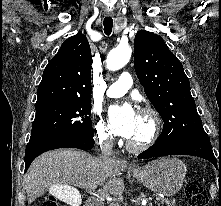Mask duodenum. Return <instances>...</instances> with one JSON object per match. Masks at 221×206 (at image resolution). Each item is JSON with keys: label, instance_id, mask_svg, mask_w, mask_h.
Here are the masks:
<instances>
[{"label": "duodenum", "instance_id": "obj_1", "mask_svg": "<svg viewBox=\"0 0 221 206\" xmlns=\"http://www.w3.org/2000/svg\"><path fill=\"white\" fill-rule=\"evenodd\" d=\"M85 206H104V204L100 198L92 196L87 199Z\"/></svg>", "mask_w": 221, "mask_h": 206}]
</instances>
